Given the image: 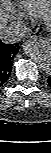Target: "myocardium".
<instances>
[{
	"label": "myocardium",
	"instance_id": "f54148a6",
	"mask_svg": "<svg viewBox=\"0 0 51 153\" xmlns=\"http://www.w3.org/2000/svg\"><path fill=\"white\" fill-rule=\"evenodd\" d=\"M48 21H49V17L47 16V17L45 18V24H47Z\"/></svg>",
	"mask_w": 51,
	"mask_h": 153
}]
</instances>
